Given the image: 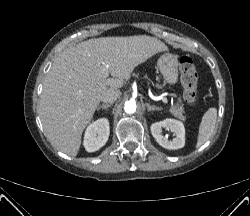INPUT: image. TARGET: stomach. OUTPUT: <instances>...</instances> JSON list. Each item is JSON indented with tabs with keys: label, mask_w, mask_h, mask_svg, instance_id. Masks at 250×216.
<instances>
[{
	"label": "stomach",
	"mask_w": 250,
	"mask_h": 216,
	"mask_svg": "<svg viewBox=\"0 0 250 216\" xmlns=\"http://www.w3.org/2000/svg\"><path fill=\"white\" fill-rule=\"evenodd\" d=\"M157 66L164 80L169 85H176L179 75L177 57L170 53H165L158 59Z\"/></svg>",
	"instance_id": "1"
}]
</instances>
